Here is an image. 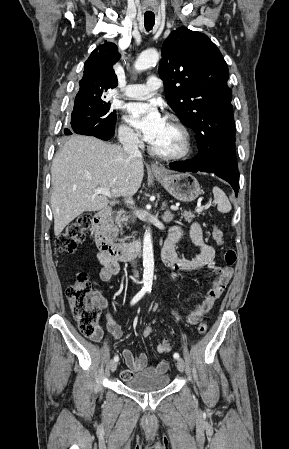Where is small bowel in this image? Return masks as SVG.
Listing matches in <instances>:
<instances>
[{
  "instance_id": "1",
  "label": "small bowel",
  "mask_w": 289,
  "mask_h": 449,
  "mask_svg": "<svg viewBox=\"0 0 289 449\" xmlns=\"http://www.w3.org/2000/svg\"><path fill=\"white\" fill-rule=\"evenodd\" d=\"M190 235L193 243L199 248V252L196 255L182 257L176 252L174 243L180 238L181 231L177 227H173L162 247L161 257L165 265L172 270L193 271L206 267L216 275L214 283L202 303L196 306L187 317V322L190 325H195L212 308L215 301L220 298L232 278L233 269L228 266L221 267L217 265L214 260L215 251L211 246L204 243L201 228L197 223L191 225ZM98 261L102 266L99 272L101 281H109L113 276L119 274L120 267L115 259L99 252ZM100 303L102 307L106 306L104 299H100ZM106 320L108 331L116 340H120L123 336L120 326L109 315L106 316ZM102 334L103 332L99 328L97 334L92 339L99 341L102 338ZM166 347L165 344L159 343L157 345L158 353L162 354L160 350ZM122 356L127 365V368L121 371V378L124 381L132 378L137 373L161 374L165 373L169 368V364L165 360H161L156 366H148V356L146 353H140L138 356H134L131 350L124 349Z\"/></svg>"
}]
</instances>
